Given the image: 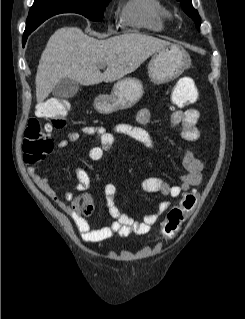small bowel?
<instances>
[{
	"instance_id": "c3829d8e",
	"label": "small bowel",
	"mask_w": 245,
	"mask_h": 319,
	"mask_svg": "<svg viewBox=\"0 0 245 319\" xmlns=\"http://www.w3.org/2000/svg\"><path fill=\"white\" fill-rule=\"evenodd\" d=\"M175 90H180L186 95H191V103L197 100L198 95L193 80L190 77H181L177 81ZM150 118L151 114L149 110L144 108L136 114L137 125L118 124L112 131H107L101 126H84L80 131H70L65 139H61L56 143V147L58 150L67 148L69 142L79 139L80 133L94 136L98 144L89 150L88 156L92 161H99L112 147L114 133H117L151 149L155 142V136L147 129ZM199 118L200 113L195 108H189L184 111L176 110L171 114L170 124L172 129L179 132L180 137L184 141H196L201 136L197 126ZM182 166L184 171L179 175L180 182L178 184L170 185L160 177H147L142 180L141 189L146 193H160L172 198L179 197L201 183L204 162L193 153L189 146H184L182 151ZM72 172L77 178V182L73 188L79 194L73 196L71 192H67L65 194L67 202H64L58 199L45 177H42L34 167L29 168V174L35 183L73 220L82 239L86 242H101L109 239L115 233L120 236H128L131 233L148 234L171 205L170 201H163L154 213L147 215L142 221L134 220L117 206L115 200L116 186L113 183H106L103 189L104 196L109 214L114 219V222L108 226L94 228L87 220L94 211V201L88 193L91 187V177L86 170L79 166L72 167Z\"/></svg>"
}]
</instances>
